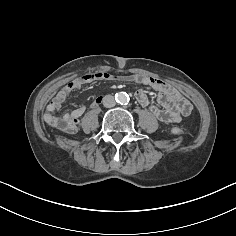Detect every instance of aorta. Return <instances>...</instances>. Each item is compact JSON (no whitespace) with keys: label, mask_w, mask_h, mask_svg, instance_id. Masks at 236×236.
I'll return each mask as SVG.
<instances>
[{"label":"aorta","mask_w":236,"mask_h":236,"mask_svg":"<svg viewBox=\"0 0 236 236\" xmlns=\"http://www.w3.org/2000/svg\"><path fill=\"white\" fill-rule=\"evenodd\" d=\"M117 101L120 104H127L129 102V96L126 93H119L117 96Z\"/></svg>","instance_id":"1"}]
</instances>
